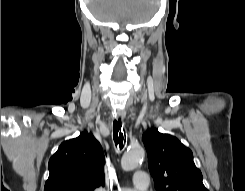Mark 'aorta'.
I'll return each mask as SVG.
<instances>
[{"mask_svg": "<svg viewBox=\"0 0 245 191\" xmlns=\"http://www.w3.org/2000/svg\"><path fill=\"white\" fill-rule=\"evenodd\" d=\"M145 152L140 145L130 147L122 156L121 167L125 171L135 169L144 158Z\"/></svg>", "mask_w": 245, "mask_h": 191, "instance_id": "obj_1", "label": "aorta"}]
</instances>
